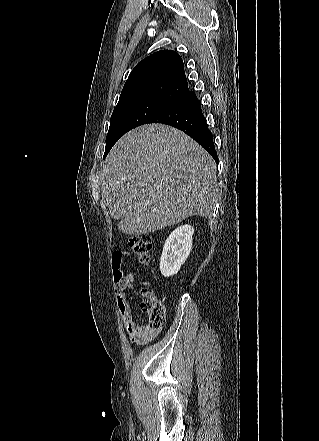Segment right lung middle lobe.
I'll return each mask as SVG.
<instances>
[{
    "mask_svg": "<svg viewBox=\"0 0 319 441\" xmlns=\"http://www.w3.org/2000/svg\"><path fill=\"white\" fill-rule=\"evenodd\" d=\"M172 104L170 101L149 97L127 100L118 104L110 119L104 158L126 132L142 124H147L154 116Z\"/></svg>",
    "mask_w": 319,
    "mask_h": 441,
    "instance_id": "right-lung-middle-lobe-1",
    "label": "right lung middle lobe"
}]
</instances>
